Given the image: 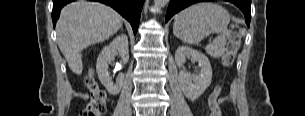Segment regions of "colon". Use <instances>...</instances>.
Listing matches in <instances>:
<instances>
[{"label": "colon", "mask_w": 305, "mask_h": 116, "mask_svg": "<svg viewBox=\"0 0 305 116\" xmlns=\"http://www.w3.org/2000/svg\"><path fill=\"white\" fill-rule=\"evenodd\" d=\"M238 48V34L231 32L228 36L226 50L222 55L221 61L224 66H230L235 58ZM85 84L90 92L91 99L87 106L81 111L80 116H102L107 110V96L104 90L100 88L94 77L89 74L86 77ZM221 88L216 87L208 98L210 116H222L219 96Z\"/></svg>", "instance_id": "5ec220e1"}]
</instances>
